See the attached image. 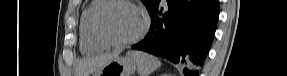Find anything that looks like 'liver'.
Masks as SVG:
<instances>
[{"label":"liver","mask_w":287,"mask_h":76,"mask_svg":"<svg viewBox=\"0 0 287 76\" xmlns=\"http://www.w3.org/2000/svg\"><path fill=\"white\" fill-rule=\"evenodd\" d=\"M116 57H118V54L84 58L79 62L76 68V76H88L90 73L100 70L109 60Z\"/></svg>","instance_id":"1"}]
</instances>
